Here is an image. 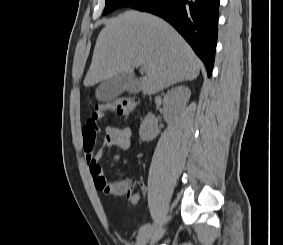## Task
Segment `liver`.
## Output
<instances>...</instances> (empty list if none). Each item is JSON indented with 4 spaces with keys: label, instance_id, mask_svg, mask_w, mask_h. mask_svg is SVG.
Returning a JSON list of instances; mask_svg holds the SVG:
<instances>
[{
    "label": "liver",
    "instance_id": "1",
    "mask_svg": "<svg viewBox=\"0 0 283 245\" xmlns=\"http://www.w3.org/2000/svg\"><path fill=\"white\" fill-rule=\"evenodd\" d=\"M142 66L143 94L152 95L182 81L195 79L201 61L188 43L164 20L126 11L106 21L98 35L84 86L90 87L119 73Z\"/></svg>",
    "mask_w": 283,
    "mask_h": 245
}]
</instances>
